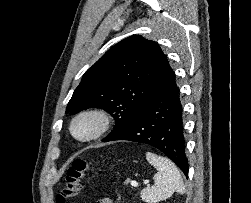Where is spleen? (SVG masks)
<instances>
[{
    "label": "spleen",
    "instance_id": "1",
    "mask_svg": "<svg viewBox=\"0 0 251 203\" xmlns=\"http://www.w3.org/2000/svg\"><path fill=\"white\" fill-rule=\"evenodd\" d=\"M146 158L156 169L154 185L144 188L140 195L147 203H156L169 198L174 192L185 193V186L175 164L166 157L147 152Z\"/></svg>",
    "mask_w": 251,
    "mask_h": 203
}]
</instances>
